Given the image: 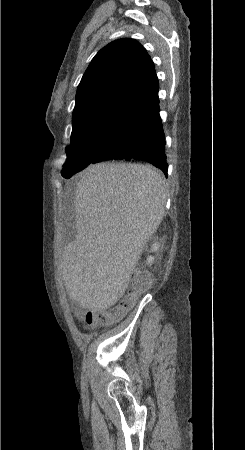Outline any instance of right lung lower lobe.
<instances>
[{"label":"right lung lower lobe","instance_id":"obj_1","mask_svg":"<svg viewBox=\"0 0 245 450\" xmlns=\"http://www.w3.org/2000/svg\"><path fill=\"white\" fill-rule=\"evenodd\" d=\"M165 139L159 115V101L140 112L130 135L109 152L101 153L91 163L111 159H138L160 168L167 177Z\"/></svg>","mask_w":245,"mask_h":450}]
</instances>
